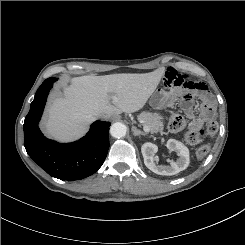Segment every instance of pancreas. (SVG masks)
Here are the masks:
<instances>
[{
    "label": "pancreas",
    "mask_w": 245,
    "mask_h": 245,
    "mask_svg": "<svg viewBox=\"0 0 245 245\" xmlns=\"http://www.w3.org/2000/svg\"><path fill=\"white\" fill-rule=\"evenodd\" d=\"M139 120H141L144 125H147L149 127L151 133L163 132L164 122L159 114L142 112L139 115Z\"/></svg>",
    "instance_id": "obj_1"
}]
</instances>
